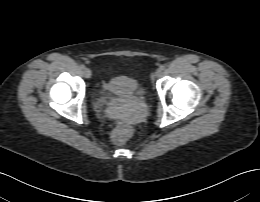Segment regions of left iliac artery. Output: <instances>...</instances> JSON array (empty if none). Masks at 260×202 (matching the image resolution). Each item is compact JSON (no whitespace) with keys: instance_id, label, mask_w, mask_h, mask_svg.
Instances as JSON below:
<instances>
[{"instance_id":"obj_1","label":"left iliac artery","mask_w":260,"mask_h":202,"mask_svg":"<svg viewBox=\"0 0 260 202\" xmlns=\"http://www.w3.org/2000/svg\"><path fill=\"white\" fill-rule=\"evenodd\" d=\"M161 69L164 71V70H166V65H162L161 66Z\"/></svg>"}]
</instances>
